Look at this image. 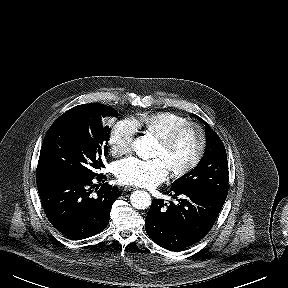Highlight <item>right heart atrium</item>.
<instances>
[{"instance_id": "1", "label": "right heart atrium", "mask_w": 288, "mask_h": 288, "mask_svg": "<svg viewBox=\"0 0 288 288\" xmlns=\"http://www.w3.org/2000/svg\"><path fill=\"white\" fill-rule=\"evenodd\" d=\"M137 127L133 120L123 119L112 127L109 144L113 154L123 155L131 151Z\"/></svg>"}]
</instances>
